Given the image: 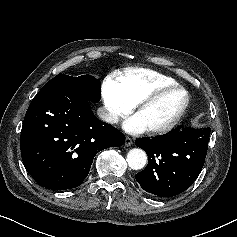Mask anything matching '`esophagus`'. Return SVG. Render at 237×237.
Segmentation results:
<instances>
[{"mask_svg": "<svg viewBox=\"0 0 237 237\" xmlns=\"http://www.w3.org/2000/svg\"><path fill=\"white\" fill-rule=\"evenodd\" d=\"M133 144V141L130 137L125 138V146L129 147Z\"/></svg>", "mask_w": 237, "mask_h": 237, "instance_id": "1", "label": "esophagus"}]
</instances>
